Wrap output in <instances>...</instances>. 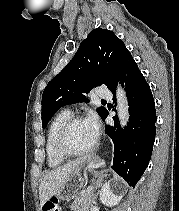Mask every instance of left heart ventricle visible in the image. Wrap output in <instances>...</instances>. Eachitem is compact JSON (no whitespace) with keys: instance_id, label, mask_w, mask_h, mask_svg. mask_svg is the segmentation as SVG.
<instances>
[{"instance_id":"b2bd125f","label":"left heart ventricle","mask_w":179,"mask_h":211,"mask_svg":"<svg viewBox=\"0 0 179 211\" xmlns=\"http://www.w3.org/2000/svg\"><path fill=\"white\" fill-rule=\"evenodd\" d=\"M95 142L94 137L90 133L85 121L76 123L68 139L69 148L73 151L79 152L88 149Z\"/></svg>"}]
</instances>
